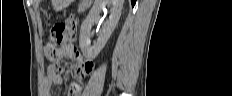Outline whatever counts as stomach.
<instances>
[{
  "mask_svg": "<svg viewBox=\"0 0 232 96\" xmlns=\"http://www.w3.org/2000/svg\"><path fill=\"white\" fill-rule=\"evenodd\" d=\"M70 2V0H53L52 4L54 9L59 10L68 6Z\"/></svg>",
  "mask_w": 232,
  "mask_h": 96,
  "instance_id": "0dacf381",
  "label": "stomach"
}]
</instances>
